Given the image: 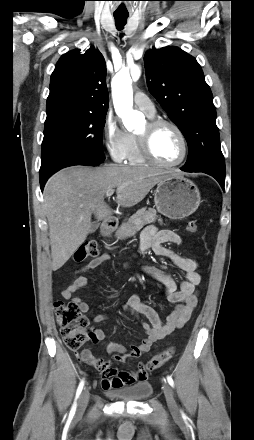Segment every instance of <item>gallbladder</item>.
I'll use <instances>...</instances> for the list:
<instances>
[{"mask_svg": "<svg viewBox=\"0 0 254 440\" xmlns=\"http://www.w3.org/2000/svg\"><path fill=\"white\" fill-rule=\"evenodd\" d=\"M99 225H100L99 221H94V222H92V224H91V228H90V231H89V232H90V233L95 232V231L98 229Z\"/></svg>", "mask_w": 254, "mask_h": 440, "instance_id": "obj_1", "label": "gallbladder"}]
</instances>
